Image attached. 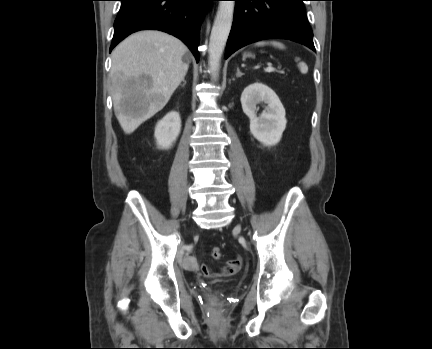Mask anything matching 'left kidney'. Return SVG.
I'll use <instances>...</instances> for the list:
<instances>
[{"label":"left kidney","mask_w":432,"mask_h":349,"mask_svg":"<svg viewBox=\"0 0 432 349\" xmlns=\"http://www.w3.org/2000/svg\"><path fill=\"white\" fill-rule=\"evenodd\" d=\"M260 102L268 106L257 117L256 105ZM243 112L250 119L251 134L263 145L273 146L280 142L286 128L285 109L276 93L267 85L255 82L248 85L241 95Z\"/></svg>","instance_id":"5707ae66"}]
</instances>
